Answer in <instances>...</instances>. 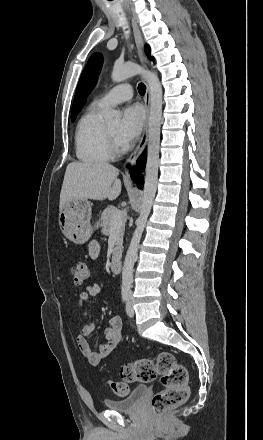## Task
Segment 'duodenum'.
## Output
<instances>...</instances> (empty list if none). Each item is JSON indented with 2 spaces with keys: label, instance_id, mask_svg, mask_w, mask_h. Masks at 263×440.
<instances>
[{
  "label": "duodenum",
  "instance_id": "obj_1",
  "mask_svg": "<svg viewBox=\"0 0 263 440\" xmlns=\"http://www.w3.org/2000/svg\"><path fill=\"white\" fill-rule=\"evenodd\" d=\"M122 269V262L119 257H114L111 261V270L114 273H120Z\"/></svg>",
  "mask_w": 263,
  "mask_h": 440
}]
</instances>
